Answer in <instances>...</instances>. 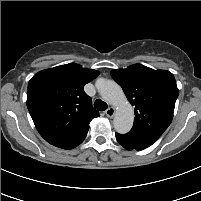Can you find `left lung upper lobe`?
<instances>
[{"label": "left lung upper lobe", "instance_id": "5c2ea615", "mask_svg": "<svg viewBox=\"0 0 201 201\" xmlns=\"http://www.w3.org/2000/svg\"><path fill=\"white\" fill-rule=\"evenodd\" d=\"M111 76L135 107L131 132L161 136L172 121L179 94L173 74L134 64L127 69H113Z\"/></svg>", "mask_w": 201, "mask_h": 201}]
</instances>
